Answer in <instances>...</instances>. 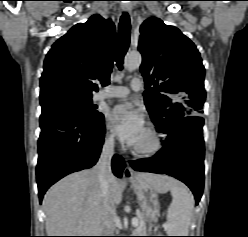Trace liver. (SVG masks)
Masks as SVG:
<instances>
[{"instance_id": "obj_1", "label": "liver", "mask_w": 248, "mask_h": 237, "mask_svg": "<svg viewBox=\"0 0 248 237\" xmlns=\"http://www.w3.org/2000/svg\"><path fill=\"white\" fill-rule=\"evenodd\" d=\"M159 192L175 181L167 176L140 173ZM125 183L112 176L113 203L122 201ZM43 206L48 236H97L102 232V198L96 167L71 174L54 184L45 194Z\"/></svg>"}]
</instances>
